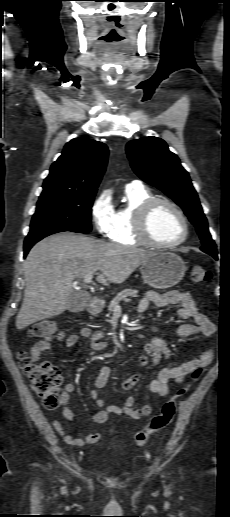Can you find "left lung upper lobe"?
I'll return each mask as SVG.
<instances>
[{
  "mask_svg": "<svg viewBox=\"0 0 230 517\" xmlns=\"http://www.w3.org/2000/svg\"><path fill=\"white\" fill-rule=\"evenodd\" d=\"M126 151L134 172L163 191L184 210L203 243L201 250L216 258V245L189 174L165 141L153 136L143 137L130 141Z\"/></svg>",
  "mask_w": 230,
  "mask_h": 517,
  "instance_id": "5c2ea615",
  "label": "left lung upper lobe"
}]
</instances>
